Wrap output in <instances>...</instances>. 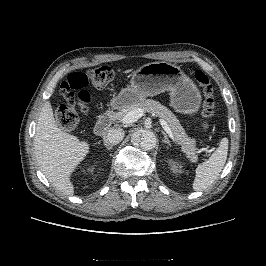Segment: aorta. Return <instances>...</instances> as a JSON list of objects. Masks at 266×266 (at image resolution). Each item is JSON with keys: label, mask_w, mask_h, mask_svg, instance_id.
<instances>
[{"label": "aorta", "mask_w": 266, "mask_h": 266, "mask_svg": "<svg viewBox=\"0 0 266 266\" xmlns=\"http://www.w3.org/2000/svg\"><path fill=\"white\" fill-rule=\"evenodd\" d=\"M132 142L139 145L143 150L150 151L155 148L157 139L152 131L144 130L141 134H134Z\"/></svg>", "instance_id": "1"}]
</instances>
